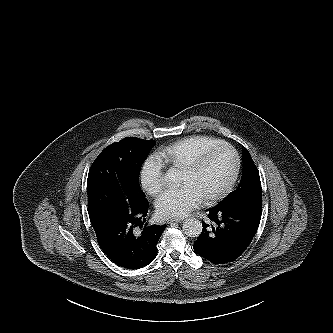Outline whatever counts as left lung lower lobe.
I'll list each match as a JSON object with an SVG mask.
<instances>
[{"instance_id":"left-lung-lower-lobe-1","label":"left lung lower lobe","mask_w":333,"mask_h":333,"mask_svg":"<svg viewBox=\"0 0 333 333\" xmlns=\"http://www.w3.org/2000/svg\"><path fill=\"white\" fill-rule=\"evenodd\" d=\"M261 209L262 196L208 209V218L212 223L209 225L202 221V233L194 241L195 253L214 264L236 260L257 232Z\"/></svg>"}]
</instances>
